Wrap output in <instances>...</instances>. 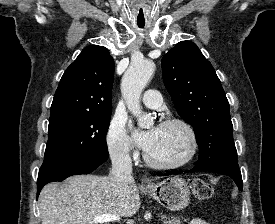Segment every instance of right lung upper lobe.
<instances>
[{"label":"right lung upper lobe","instance_id":"1","mask_svg":"<svg viewBox=\"0 0 275 224\" xmlns=\"http://www.w3.org/2000/svg\"><path fill=\"white\" fill-rule=\"evenodd\" d=\"M113 74L114 61L105 47H85L60 80L51 116L112 112Z\"/></svg>","mask_w":275,"mask_h":224}]
</instances>
